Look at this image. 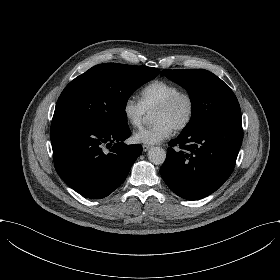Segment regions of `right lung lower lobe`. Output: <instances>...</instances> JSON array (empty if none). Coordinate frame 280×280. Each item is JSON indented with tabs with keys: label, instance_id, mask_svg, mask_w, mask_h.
Masks as SVG:
<instances>
[{
	"label": "right lung lower lobe",
	"instance_id": "1",
	"mask_svg": "<svg viewBox=\"0 0 280 280\" xmlns=\"http://www.w3.org/2000/svg\"><path fill=\"white\" fill-rule=\"evenodd\" d=\"M130 135L128 126L102 129L74 120L52 121L55 169L79 194L104 198L124 182L142 152L141 145L123 142ZM105 145L111 147L109 153L104 150Z\"/></svg>",
	"mask_w": 280,
	"mask_h": 280
}]
</instances>
